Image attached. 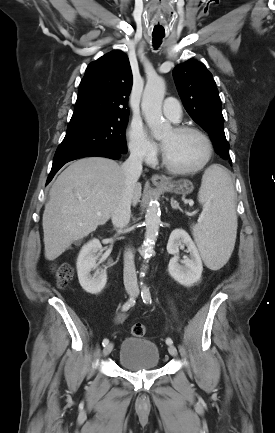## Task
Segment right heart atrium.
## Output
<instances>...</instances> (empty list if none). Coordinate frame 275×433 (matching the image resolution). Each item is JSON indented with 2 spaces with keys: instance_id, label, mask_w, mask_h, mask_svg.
Segmentation results:
<instances>
[{
  "instance_id": "obj_1",
  "label": "right heart atrium",
  "mask_w": 275,
  "mask_h": 433,
  "mask_svg": "<svg viewBox=\"0 0 275 433\" xmlns=\"http://www.w3.org/2000/svg\"><path fill=\"white\" fill-rule=\"evenodd\" d=\"M128 146L131 155L144 162H152L157 155V147L150 139L140 122H133L128 130Z\"/></svg>"
}]
</instances>
